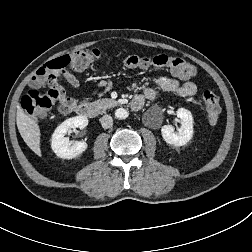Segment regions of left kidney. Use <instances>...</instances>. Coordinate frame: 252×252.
<instances>
[{
  "instance_id": "5707ae66",
  "label": "left kidney",
  "mask_w": 252,
  "mask_h": 252,
  "mask_svg": "<svg viewBox=\"0 0 252 252\" xmlns=\"http://www.w3.org/2000/svg\"><path fill=\"white\" fill-rule=\"evenodd\" d=\"M177 116L181 119V127L178 132L172 125H164L161 128L162 137L166 143L174 146H183L193 136V117L190 111L184 108L177 110Z\"/></svg>"
}]
</instances>
